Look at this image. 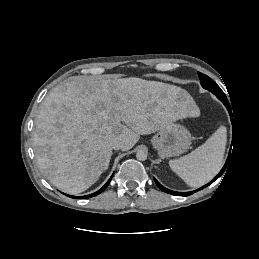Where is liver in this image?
<instances>
[{
	"label": "liver",
	"mask_w": 259,
	"mask_h": 259,
	"mask_svg": "<svg viewBox=\"0 0 259 259\" xmlns=\"http://www.w3.org/2000/svg\"><path fill=\"white\" fill-rule=\"evenodd\" d=\"M199 114L193 98L174 85L136 77H73L42 102L33 133L35 157L53 186L78 194L108 168L113 140L128 151L139 135Z\"/></svg>",
	"instance_id": "6515ba94"
}]
</instances>
